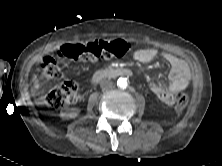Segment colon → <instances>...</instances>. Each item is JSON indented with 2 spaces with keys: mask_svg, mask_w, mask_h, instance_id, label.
<instances>
[{
  "mask_svg": "<svg viewBox=\"0 0 222 166\" xmlns=\"http://www.w3.org/2000/svg\"><path fill=\"white\" fill-rule=\"evenodd\" d=\"M131 44L124 40H96L89 43H74L62 46L58 51L59 58L73 61H97L121 57L129 52ZM38 75L45 80H55L62 77V69L58 60L46 56L40 63ZM78 97V84L74 80H66L55 86L40 98L42 105L62 109L74 102ZM188 96L181 93L177 96L175 108L180 111L188 104Z\"/></svg>",
  "mask_w": 222,
  "mask_h": 166,
  "instance_id": "obj_1",
  "label": "colon"
}]
</instances>
